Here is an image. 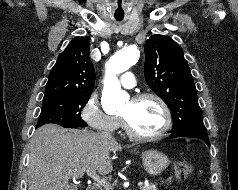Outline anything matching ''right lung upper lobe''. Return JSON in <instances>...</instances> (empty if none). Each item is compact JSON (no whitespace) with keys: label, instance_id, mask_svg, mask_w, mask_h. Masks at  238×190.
Instances as JSON below:
<instances>
[{"label":"right lung upper lobe","instance_id":"right-lung-upper-lobe-1","mask_svg":"<svg viewBox=\"0 0 238 190\" xmlns=\"http://www.w3.org/2000/svg\"><path fill=\"white\" fill-rule=\"evenodd\" d=\"M90 42L84 37H75L59 54L52 68L44 98L61 95H91L95 71L89 58Z\"/></svg>","mask_w":238,"mask_h":190}]
</instances>
